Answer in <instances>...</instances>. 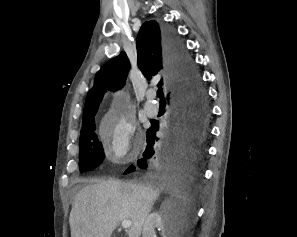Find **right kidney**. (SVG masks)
Returning <instances> with one entry per match:
<instances>
[{
	"instance_id": "right-kidney-1",
	"label": "right kidney",
	"mask_w": 297,
	"mask_h": 237,
	"mask_svg": "<svg viewBox=\"0 0 297 237\" xmlns=\"http://www.w3.org/2000/svg\"><path fill=\"white\" fill-rule=\"evenodd\" d=\"M158 228L161 231L163 237H168L165 231V221L159 212H153L145 220L143 225L142 237H155L154 229Z\"/></svg>"
}]
</instances>
